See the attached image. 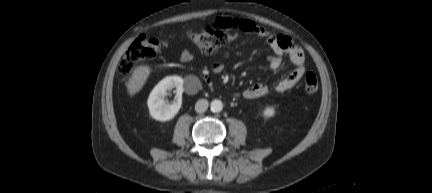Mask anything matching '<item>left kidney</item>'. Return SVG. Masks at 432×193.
<instances>
[{"mask_svg": "<svg viewBox=\"0 0 432 193\" xmlns=\"http://www.w3.org/2000/svg\"><path fill=\"white\" fill-rule=\"evenodd\" d=\"M275 108L274 107H266L265 110L263 111V115L266 117H272L275 115Z\"/></svg>", "mask_w": 432, "mask_h": 193, "instance_id": "1", "label": "left kidney"}]
</instances>
